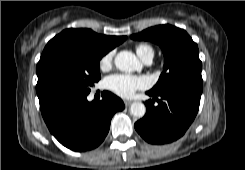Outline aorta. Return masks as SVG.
I'll return each instance as SVG.
<instances>
[{
  "label": "aorta",
  "mask_w": 245,
  "mask_h": 170,
  "mask_svg": "<svg viewBox=\"0 0 245 170\" xmlns=\"http://www.w3.org/2000/svg\"><path fill=\"white\" fill-rule=\"evenodd\" d=\"M115 66L123 72H133L141 68L137 57L130 51H121L115 57ZM131 115L142 118L145 115L146 107L142 102H133L130 106Z\"/></svg>",
  "instance_id": "aorta-1"
}]
</instances>
